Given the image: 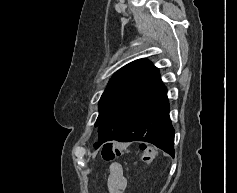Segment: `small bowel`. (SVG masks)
<instances>
[{"mask_svg":"<svg viewBox=\"0 0 237 193\" xmlns=\"http://www.w3.org/2000/svg\"><path fill=\"white\" fill-rule=\"evenodd\" d=\"M128 185V180L124 176L123 168L119 163H112L109 166L107 178L108 193H124Z\"/></svg>","mask_w":237,"mask_h":193,"instance_id":"c3829d8e","label":"small bowel"}]
</instances>
